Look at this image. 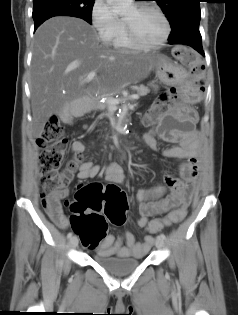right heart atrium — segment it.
<instances>
[{
	"label": "right heart atrium",
	"mask_w": 238,
	"mask_h": 315,
	"mask_svg": "<svg viewBox=\"0 0 238 315\" xmlns=\"http://www.w3.org/2000/svg\"><path fill=\"white\" fill-rule=\"evenodd\" d=\"M90 20L100 39L106 42L113 38L121 22L106 0L93 1L90 8Z\"/></svg>",
	"instance_id": "right-heart-atrium-1"
}]
</instances>
